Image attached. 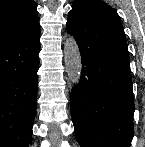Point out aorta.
Returning <instances> with one entry per match:
<instances>
[{
    "label": "aorta",
    "mask_w": 145,
    "mask_h": 147,
    "mask_svg": "<svg viewBox=\"0 0 145 147\" xmlns=\"http://www.w3.org/2000/svg\"><path fill=\"white\" fill-rule=\"evenodd\" d=\"M64 61L68 80L77 84L81 77L82 61L78 44L73 36H68L64 42Z\"/></svg>",
    "instance_id": "aorta-1"
}]
</instances>
